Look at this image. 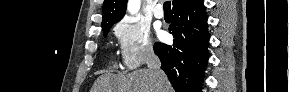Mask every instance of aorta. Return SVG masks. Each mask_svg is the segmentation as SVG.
<instances>
[{"label": "aorta", "instance_id": "762f6f07", "mask_svg": "<svg viewBox=\"0 0 289 92\" xmlns=\"http://www.w3.org/2000/svg\"><path fill=\"white\" fill-rule=\"evenodd\" d=\"M140 9V0H130L128 3V12L135 14Z\"/></svg>", "mask_w": 289, "mask_h": 92}]
</instances>
